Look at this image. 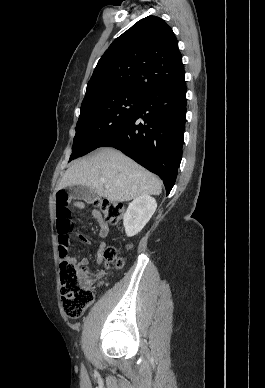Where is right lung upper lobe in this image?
Wrapping results in <instances>:
<instances>
[{
	"label": "right lung upper lobe",
	"instance_id": "1",
	"mask_svg": "<svg viewBox=\"0 0 265 388\" xmlns=\"http://www.w3.org/2000/svg\"><path fill=\"white\" fill-rule=\"evenodd\" d=\"M183 77L182 56L171 27L148 16L112 42L95 67L85 97L101 90L144 96Z\"/></svg>",
	"mask_w": 265,
	"mask_h": 388
}]
</instances>
